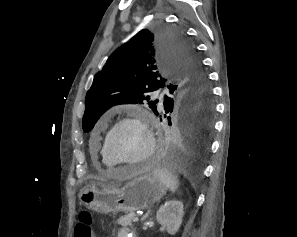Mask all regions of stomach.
Listing matches in <instances>:
<instances>
[{
	"label": "stomach",
	"mask_w": 297,
	"mask_h": 237,
	"mask_svg": "<svg viewBox=\"0 0 297 237\" xmlns=\"http://www.w3.org/2000/svg\"><path fill=\"white\" fill-rule=\"evenodd\" d=\"M166 185L149 172L127 182L122 188L90 185L80 192L87 208L107 213H131L152 206L166 193Z\"/></svg>",
	"instance_id": "stomach-1"
}]
</instances>
